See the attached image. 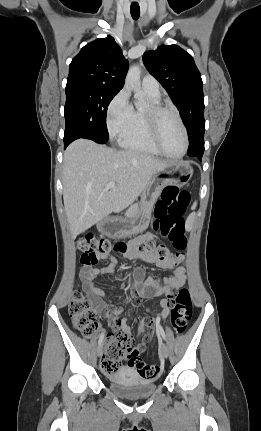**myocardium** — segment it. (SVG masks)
I'll return each instance as SVG.
<instances>
[{
  "mask_svg": "<svg viewBox=\"0 0 261 431\" xmlns=\"http://www.w3.org/2000/svg\"><path fill=\"white\" fill-rule=\"evenodd\" d=\"M173 113L177 119V122L182 130L183 137H184V149L180 155L172 156L168 154L164 148L161 145L160 138H159V120L160 117L165 113ZM144 118L145 122L148 128V132L150 135V138L155 145V147L158 149V151L164 155L165 157L172 159V160H178L183 158L189 148V136L186 129V126L181 118L180 113L178 110L172 106L163 105L160 103H153L151 106L144 112Z\"/></svg>",
  "mask_w": 261,
  "mask_h": 431,
  "instance_id": "f54148a6",
  "label": "myocardium"
}]
</instances>
